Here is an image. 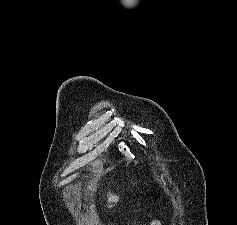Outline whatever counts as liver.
Returning <instances> with one entry per match:
<instances>
[{
	"mask_svg": "<svg viewBox=\"0 0 237 225\" xmlns=\"http://www.w3.org/2000/svg\"><path fill=\"white\" fill-rule=\"evenodd\" d=\"M107 197L108 202L110 203L109 205L110 208L113 206L111 203H117L119 201V196H117L116 194L109 193Z\"/></svg>",
	"mask_w": 237,
	"mask_h": 225,
	"instance_id": "1",
	"label": "liver"
}]
</instances>
